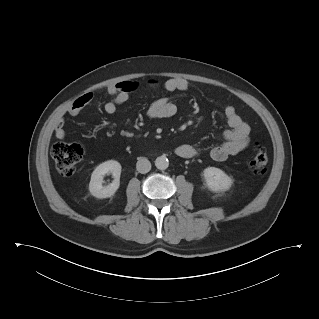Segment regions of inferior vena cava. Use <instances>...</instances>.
<instances>
[{"instance_id":"obj_1","label":"inferior vena cava","mask_w":319,"mask_h":319,"mask_svg":"<svg viewBox=\"0 0 319 319\" xmlns=\"http://www.w3.org/2000/svg\"><path fill=\"white\" fill-rule=\"evenodd\" d=\"M136 169L139 173L145 174L151 170V163L146 158H140L136 163Z\"/></svg>"}]
</instances>
